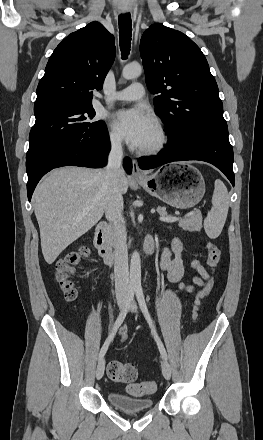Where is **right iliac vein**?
Wrapping results in <instances>:
<instances>
[{
  "mask_svg": "<svg viewBox=\"0 0 263 440\" xmlns=\"http://www.w3.org/2000/svg\"><path fill=\"white\" fill-rule=\"evenodd\" d=\"M125 304H126V300L125 299H120L118 301V305H119L120 309H123ZM104 370H105V360L102 358V359H100V361H99V363L97 365V369H96V378L98 380H100L103 377Z\"/></svg>",
  "mask_w": 263,
  "mask_h": 440,
  "instance_id": "right-iliac-vein-1",
  "label": "right iliac vein"
}]
</instances>
